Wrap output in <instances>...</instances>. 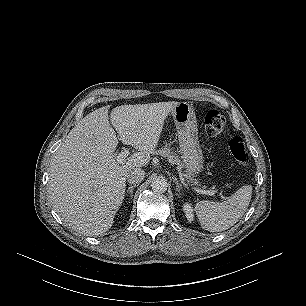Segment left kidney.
Masks as SVG:
<instances>
[{
	"mask_svg": "<svg viewBox=\"0 0 306 306\" xmlns=\"http://www.w3.org/2000/svg\"><path fill=\"white\" fill-rule=\"evenodd\" d=\"M183 210L186 214L187 220L191 223L194 220V213L191 203L186 202L183 204Z\"/></svg>",
	"mask_w": 306,
	"mask_h": 306,
	"instance_id": "1",
	"label": "left kidney"
}]
</instances>
